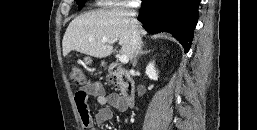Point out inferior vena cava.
Masks as SVG:
<instances>
[{
  "label": "inferior vena cava",
  "mask_w": 257,
  "mask_h": 130,
  "mask_svg": "<svg viewBox=\"0 0 257 130\" xmlns=\"http://www.w3.org/2000/svg\"><path fill=\"white\" fill-rule=\"evenodd\" d=\"M131 16H134V13H130ZM141 44L140 32L136 25L132 26V51H131V60L136 57V53Z\"/></svg>",
  "instance_id": "1"
}]
</instances>
